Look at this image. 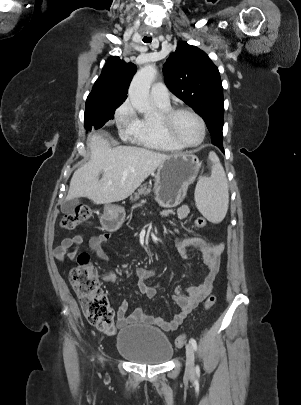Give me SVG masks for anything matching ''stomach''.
I'll use <instances>...</instances> for the list:
<instances>
[{
	"label": "stomach",
	"mask_w": 301,
	"mask_h": 405,
	"mask_svg": "<svg viewBox=\"0 0 301 405\" xmlns=\"http://www.w3.org/2000/svg\"><path fill=\"white\" fill-rule=\"evenodd\" d=\"M200 162L191 152L174 154L165 159L155 175L154 194L162 207H175L185 198L188 187L196 180ZM124 211L107 208L101 220L108 230H117L123 223Z\"/></svg>",
	"instance_id": "stomach-1"
}]
</instances>
